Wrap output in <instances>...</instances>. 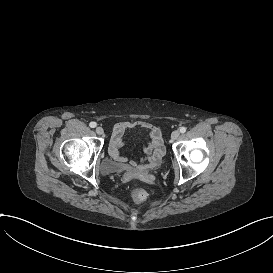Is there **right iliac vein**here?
I'll return each mask as SVG.
<instances>
[{
	"label": "right iliac vein",
	"mask_w": 273,
	"mask_h": 273,
	"mask_svg": "<svg viewBox=\"0 0 273 273\" xmlns=\"http://www.w3.org/2000/svg\"><path fill=\"white\" fill-rule=\"evenodd\" d=\"M95 131L98 135H102L104 133V129L100 126L96 127Z\"/></svg>",
	"instance_id": "right-iliac-vein-1"
}]
</instances>
